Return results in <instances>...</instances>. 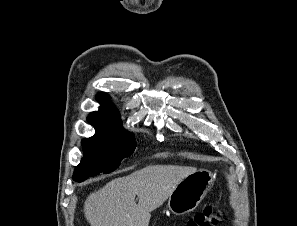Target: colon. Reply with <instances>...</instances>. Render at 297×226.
<instances>
[{"label":"colon","instance_id":"1","mask_svg":"<svg viewBox=\"0 0 297 226\" xmlns=\"http://www.w3.org/2000/svg\"><path fill=\"white\" fill-rule=\"evenodd\" d=\"M222 217V212L216 204H209L196 213L185 226H213Z\"/></svg>","mask_w":297,"mask_h":226}]
</instances>
